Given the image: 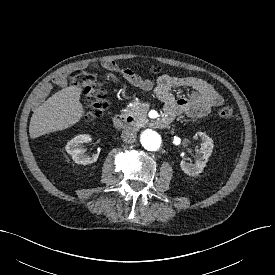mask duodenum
Returning a JSON list of instances; mask_svg holds the SVG:
<instances>
[{"label": "duodenum", "instance_id": "duodenum-1", "mask_svg": "<svg viewBox=\"0 0 275 275\" xmlns=\"http://www.w3.org/2000/svg\"><path fill=\"white\" fill-rule=\"evenodd\" d=\"M171 120L172 119L169 116L165 115L154 120L152 124L157 128H164L171 122ZM128 123H129V119L123 114H117L113 118V124L118 129H122L126 127Z\"/></svg>", "mask_w": 275, "mask_h": 275}]
</instances>
